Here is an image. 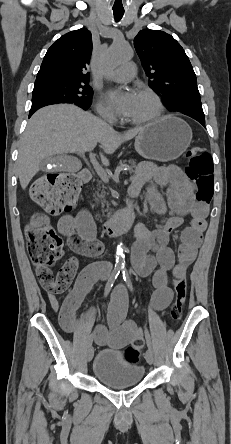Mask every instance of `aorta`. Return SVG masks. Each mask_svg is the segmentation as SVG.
I'll list each match as a JSON object with an SVG mask.
<instances>
[{
	"mask_svg": "<svg viewBox=\"0 0 231 444\" xmlns=\"http://www.w3.org/2000/svg\"><path fill=\"white\" fill-rule=\"evenodd\" d=\"M132 57V48L125 41H116L106 52L103 58V66L105 68H114ZM116 263L121 265L124 263V254L121 245L117 248Z\"/></svg>",
	"mask_w": 231,
	"mask_h": 444,
	"instance_id": "762f6f07",
	"label": "aorta"
}]
</instances>
